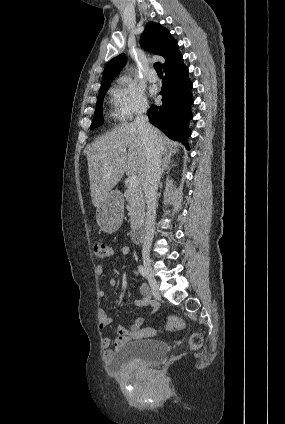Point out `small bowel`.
I'll use <instances>...</instances> for the list:
<instances>
[{
  "mask_svg": "<svg viewBox=\"0 0 285 424\" xmlns=\"http://www.w3.org/2000/svg\"><path fill=\"white\" fill-rule=\"evenodd\" d=\"M122 254H128L130 252L128 247H122L121 251ZM119 255L116 256V258H118ZM105 273V269L103 266H97L96 267V274L97 275H103ZM137 275H139V273L137 272ZM109 284L111 287H114L116 285V280L114 278L110 279ZM140 291L142 294V298L135 300L134 304L137 307H156L155 302L152 300L151 298V294H150V290L148 288V286L146 284H142L140 287ZM100 296L105 297L106 291L104 289H100L99 291ZM143 318L142 317H138L134 323L132 324V326L130 327V329H119L118 330V337L116 338V340L114 341V348L113 350L108 349L111 341L109 338H104L103 340V346L104 348H106L105 351V358L106 359H110L112 357V353L118 349L119 347L125 345L126 343L132 341V340H136V339H142L141 337V333H142V325H143ZM112 324V318L105 312L103 311L100 314V321H99V328L100 329H104L107 328L108 326H110Z\"/></svg>",
  "mask_w": 285,
  "mask_h": 424,
  "instance_id": "small-bowel-1",
  "label": "small bowel"
}]
</instances>
